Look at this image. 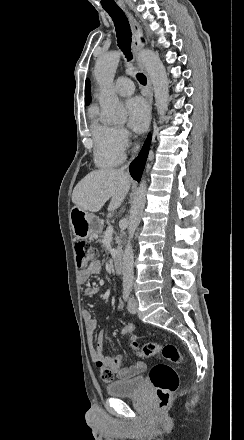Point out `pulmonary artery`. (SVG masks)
Returning a JSON list of instances; mask_svg holds the SVG:
<instances>
[{
    "instance_id": "1",
    "label": "pulmonary artery",
    "mask_w": 244,
    "mask_h": 440,
    "mask_svg": "<svg viewBox=\"0 0 244 440\" xmlns=\"http://www.w3.org/2000/svg\"><path fill=\"white\" fill-rule=\"evenodd\" d=\"M116 90L122 96H132L134 90V83L131 75H118Z\"/></svg>"
}]
</instances>
